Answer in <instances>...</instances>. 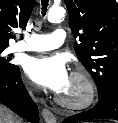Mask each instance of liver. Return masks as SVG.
<instances>
[{"mask_svg":"<svg viewBox=\"0 0 118 123\" xmlns=\"http://www.w3.org/2000/svg\"><path fill=\"white\" fill-rule=\"evenodd\" d=\"M0 123H21L7 107L0 104Z\"/></svg>","mask_w":118,"mask_h":123,"instance_id":"6515ba94","label":"liver"}]
</instances>
